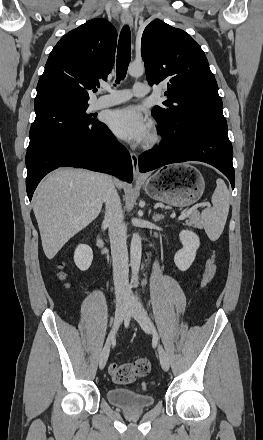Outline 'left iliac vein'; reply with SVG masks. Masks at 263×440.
Returning a JSON list of instances; mask_svg holds the SVG:
<instances>
[{
  "instance_id": "1",
  "label": "left iliac vein",
  "mask_w": 263,
  "mask_h": 440,
  "mask_svg": "<svg viewBox=\"0 0 263 440\" xmlns=\"http://www.w3.org/2000/svg\"><path fill=\"white\" fill-rule=\"evenodd\" d=\"M128 313L139 323L140 327L146 333L151 334L153 332L148 315L141 306L135 303L134 307L128 309ZM158 352L163 370L168 371L170 367L169 358L161 345H158Z\"/></svg>"
}]
</instances>
